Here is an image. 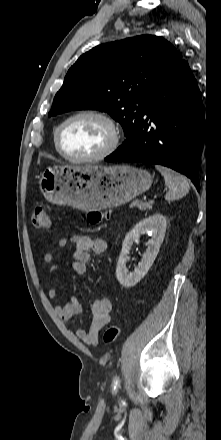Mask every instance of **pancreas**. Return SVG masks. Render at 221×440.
<instances>
[{
  "mask_svg": "<svg viewBox=\"0 0 221 440\" xmlns=\"http://www.w3.org/2000/svg\"><path fill=\"white\" fill-rule=\"evenodd\" d=\"M153 203L149 202H142V201H133L130 205V207L135 208L137 207L141 211L150 210L152 208Z\"/></svg>",
  "mask_w": 221,
  "mask_h": 440,
  "instance_id": "cf45deb5",
  "label": "pancreas"
}]
</instances>
